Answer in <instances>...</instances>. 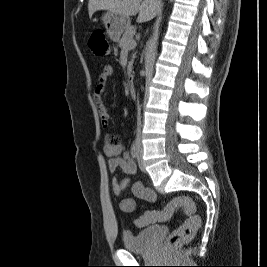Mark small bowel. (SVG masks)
<instances>
[{
  "instance_id": "1",
  "label": "small bowel",
  "mask_w": 267,
  "mask_h": 267,
  "mask_svg": "<svg viewBox=\"0 0 267 267\" xmlns=\"http://www.w3.org/2000/svg\"><path fill=\"white\" fill-rule=\"evenodd\" d=\"M113 68L110 65H106L98 79V84L94 90V101L97 107L101 123L104 127H107L110 119L108 109L103 103V94L105 92V86L107 80L112 76ZM104 154L108 158V168L110 172L114 173L118 169H121L127 175H134L137 171L136 163L129 157L128 153L124 151V147L118 137L112 135L105 136V143L103 147ZM129 186L127 180H120L114 178L112 181L113 192L122 197ZM132 194L137 199H142L148 202L156 201V193L145 187L141 182L137 181L131 186ZM135 198L123 197L120 201V209L126 213H132L137 208V201Z\"/></svg>"
}]
</instances>
